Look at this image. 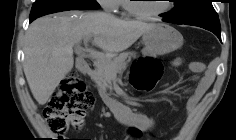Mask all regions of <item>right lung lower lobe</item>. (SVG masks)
Instances as JSON below:
<instances>
[{
	"instance_id": "1",
	"label": "right lung lower lobe",
	"mask_w": 236,
	"mask_h": 140,
	"mask_svg": "<svg viewBox=\"0 0 236 140\" xmlns=\"http://www.w3.org/2000/svg\"><path fill=\"white\" fill-rule=\"evenodd\" d=\"M33 20H34V19L31 18L29 21L32 22Z\"/></svg>"
}]
</instances>
